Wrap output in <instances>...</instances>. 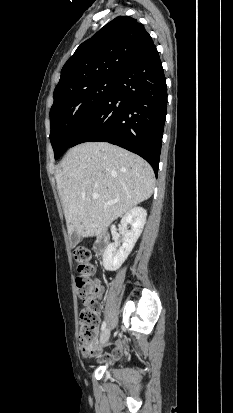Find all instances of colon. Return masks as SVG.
<instances>
[{
    "label": "colon",
    "mask_w": 233,
    "mask_h": 413,
    "mask_svg": "<svg viewBox=\"0 0 233 413\" xmlns=\"http://www.w3.org/2000/svg\"><path fill=\"white\" fill-rule=\"evenodd\" d=\"M74 259L77 264L76 287L79 295L86 300L85 308L79 316L78 338L82 354L91 356L96 352L97 326L101 308L98 300L91 297V294L99 289V280L96 278L97 267L88 249L75 250Z\"/></svg>",
    "instance_id": "obj_1"
}]
</instances>
